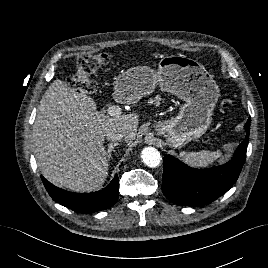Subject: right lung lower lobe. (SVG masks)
Returning <instances> with one entry per match:
<instances>
[{
  "instance_id": "98d812e1",
  "label": "right lung lower lobe",
  "mask_w": 268,
  "mask_h": 268,
  "mask_svg": "<svg viewBox=\"0 0 268 268\" xmlns=\"http://www.w3.org/2000/svg\"><path fill=\"white\" fill-rule=\"evenodd\" d=\"M44 186L57 203L78 213H93L110 208L115 204L119 197V179L116 174L110 184L104 189L92 193H73L60 189L44 177H42Z\"/></svg>"
}]
</instances>
